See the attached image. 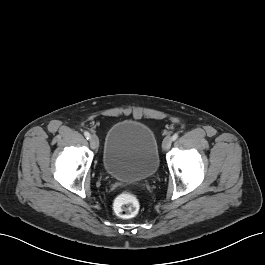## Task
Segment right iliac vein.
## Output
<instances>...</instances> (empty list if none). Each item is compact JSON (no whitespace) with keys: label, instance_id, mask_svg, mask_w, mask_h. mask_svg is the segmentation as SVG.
<instances>
[{"label":"right iliac vein","instance_id":"63e3f726","mask_svg":"<svg viewBox=\"0 0 265 265\" xmlns=\"http://www.w3.org/2000/svg\"><path fill=\"white\" fill-rule=\"evenodd\" d=\"M90 145H91L92 149H97L99 146L98 137L94 134L90 136Z\"/></svg>","mask_w":265,"mask_h":265}]
</instances>
